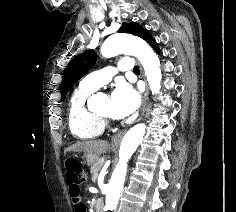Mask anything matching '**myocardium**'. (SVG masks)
I'll use <instances>...</instances> for the list:
<instances>
[{
    "label": "myocardium",
    "mask_w": 236,
    "mask_h": 212,
    "mask_svg": "<svg viewBox=\"0 0 236 212\" xmlns=\"http://www.w3.org/2000/svg\"><path fill=\"white\" fill-rule=\"evenodd\" d=\"M97 116L105 123V124H111L114 122V117H112L111 115H107V114H101V113H97Z\"/></svg>",
    "instance_id": "myocardium-1"
}]
</instances>
